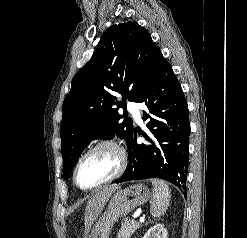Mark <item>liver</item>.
Returning <instances> with one entry per match:
<instances>
[{"mask_svg":"<svg viewBox=\"0 0 247 238\" xmlns=\"http://www.w3.org/2000/svg\"><path fill=\"white\" fill-rule=\"evenodd\" d=\"M118 188V185H110L98 191L88 200L85 214V225L87 231L90 229L93 222L102 212L106 202L111 197L112 193Z\"/></svg>","mask_w":247,"mask_h":238,"instance_id":"6515ba94","label":"liver"}]
</instances>
